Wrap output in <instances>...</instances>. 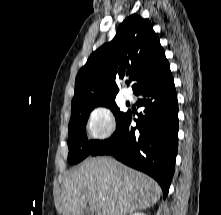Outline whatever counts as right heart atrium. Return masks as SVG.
Here are the masks:
<instances>
[{
  "label": "right heart atrium",
  "mask_w": 221,
  "mask_h": 215,
  "mask_svg": "<svg viewBox=\"0 0 221 215\" xmlns=\"http://www.w3.org/2000/svg\"><path fill=\"white\" fill-rule=\"evenodd\" d=\"M87 127L94 139L105 140L115 131V117L108 107L97 106L88 115Z\"/></svg>",
  "instance_id": "obj_1"
}]
</instances>
